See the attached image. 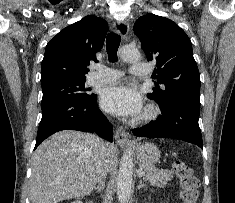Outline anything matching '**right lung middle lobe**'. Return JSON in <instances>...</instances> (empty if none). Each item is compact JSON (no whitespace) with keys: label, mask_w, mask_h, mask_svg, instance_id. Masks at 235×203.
Wrapping results in <instances>:
<instances>
[{"label":"right lung middle lobe","mask_w":235,"mask_h":203,"mask_svg":"<svg viewBox=\"0 0 235 203\" xmlns=\"http://www.w3.org/2000/svg\"><path fill=\"white\" fill-rule=\"evenodd\" d=\"M85 80L59 81L42 85V107L63 99H88L92 95L86 93Z\"/></svg>","instance_id":"dd1d6c3e"}]
</instances>
